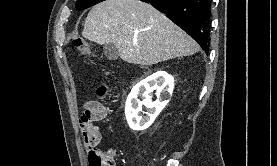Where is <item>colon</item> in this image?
Returning a JSON list of instances; mask_svg holds the SVG:
<instances>
[{"label": "colon", "instance_id": "1", "mask_svg": "<svg viewBox=\"0 0 277 166\" xmlns=\"http://www.w3.org/2000/svg\"><path fill=\"white\" fill-rule=\"evenodd\" d=\"M73 45L78 51V53L84 57H92L95 55L91 45L85 39L76 38L73 41ZM106 75L108 77L113 76V71H107ZM110 92V84H102L97 89V94L99 97L104 98ZM91 114L87 111L80 118V125L83 135L86 141L91 145L92 154L90 156L91 166H115V155L111 151H102L97 148V141L99 137V132L94 126L91 120Z\"/></svg>", "mask_w": 277, "mask_h": 166}]
</instances>
